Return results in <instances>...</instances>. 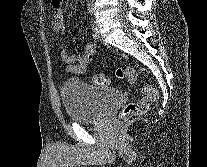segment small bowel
<instances>
[{"label":"small bowel","mask_w":207,"mask_h":167,"mask_svg":"<svg viewBox=\"0 0 207 167\" xmlns=\"http://www.w3.org/2000/svg\"><path fill=\"white\" fill-rule=\"evenodd\" d=\"M51 3L56 7L51 18L52 28L55 33H63L65 30L64 16L59 8L62 0H51ZM61 59L65 64V70L68 74L81 75L85 73L87 66L93 60L95 55V45L92 42H87L83 46L81 54H69L65 45L61 43Z\"/></svg>","instance_id":"obj_1"}]
</instances>
